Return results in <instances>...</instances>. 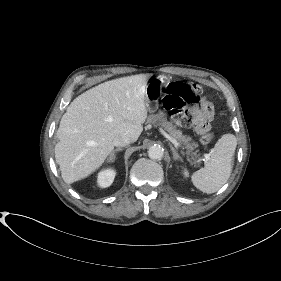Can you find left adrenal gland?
Returning a JSON list of instances; mask_svg holds the SVG:
<instances>
[{
  "mask_svg": "<svg viewBox=\"0 0 281 281\" xmlns=\"http://www.w3.org/2000/svg\"><path fill=\"white\" fill-rule=\"evenodd\" d=\"M170 148H171L172 153H173V159L182 161V158L179 156L176 149L172 145H170Z\"/></svg>",
  "mask_w": 281,
  "mask_h": 281,
  "instance_id": "a2214340",
  "label": "left adrenal gland"
}]
</instances>
